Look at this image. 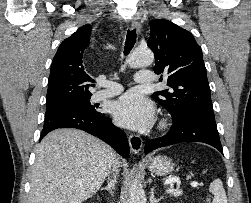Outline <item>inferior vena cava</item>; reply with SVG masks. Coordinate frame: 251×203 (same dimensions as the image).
Listing matches in <instances>:
<instances>
[{"label": "inferior vena cava", "mask_w": 251, "mask_h": 203, "mask_svg": "<svg viewBox=\"0 0 251 203\" xmlns=\"http://www.w3.org/2000/svg\"><path fill=\"white\" fill-rule=\"evenodd\" d=\"M117 168H118V166L117 165H115L114 167H113V171H117Z\"/></svg>", "instance_id": "inferior-vena-cava-1"}]
</instances>
